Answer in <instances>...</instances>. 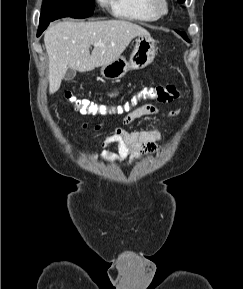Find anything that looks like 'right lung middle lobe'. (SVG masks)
<instances>
[{
	"instance_id": "1",
	"label": "right lung middle lobe",
	"mask_w": 243,
	"mask_h": 289,
	"mask_svg": "<svg viewBox=\"0 0 243 289\" xmlns=\"http://www.w3.org/2000/svg\"><path fill=\"white\" fill-rule=\"evenodd\" d=\"M94 7L95 0H44L40 17L86 18L93 14Z\"/></svg>"
}]
</instances>
